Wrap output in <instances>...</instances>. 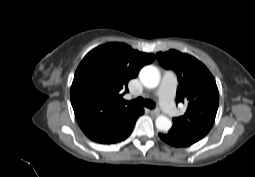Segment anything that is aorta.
<instances>
[{"mask_svg": "<svg viewBox=\"0 0 255 177\" xmlns=\"http://www.w3.org/2000/svg\"><path fill=\"white\" fill-rule=\"evenodd\" d=\"M160 78L159 70L152 65L143 67L139 73L141 83L149 89L156 88L160 82ZM155 125L159 131L166 132L172 127V122L168 117L160 115L156 118Z\"/></svg>", "mask_w": 255, "mask_h": 177, "instance_id": "1", "label": "aorta"}]
</instances>
